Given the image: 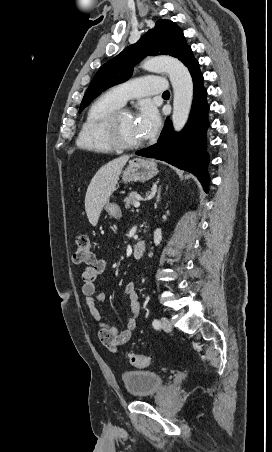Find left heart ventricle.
<instances>
[{
    "label": "left heart ventricle",
    "instance_id": "b2bd125f",
    "mask_svg": "<svg viewBox=\"0 0 272 452\" xmlns=\"http://www.w3.org/2000/svg\"><path fill=\"white\" fill-rule=\"evenodd\" d=\"M119 132L121 137L128 142H137L142 140L139 132V126L134 115L123 114L119 120Z\"/></svg>",
    "mask_w": 272,
    "mask_h": 452
}]
</instances>
